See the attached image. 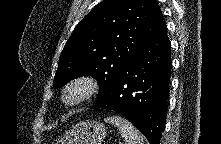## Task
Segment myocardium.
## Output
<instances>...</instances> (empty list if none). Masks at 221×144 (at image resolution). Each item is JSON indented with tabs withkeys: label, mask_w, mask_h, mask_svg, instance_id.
Masks as SVG:
<instances>
[{
	"label": "myocardium",
	"mask_w": 221,
	"mask_h": 144,
	"mask_svg": "<svg viewBox=\"0 0 221 144\" xmlns=\"http://www.w3.org/2000/svg\"><path fill=\"white\" fill-rule=\"evenodd\" d=\"M99 91V83L92 75H78L64 84L60 101L67 108L76 107L90 101Z\"/></svg>",
	"instance_id": "f54148a6"
}]
</instances>
